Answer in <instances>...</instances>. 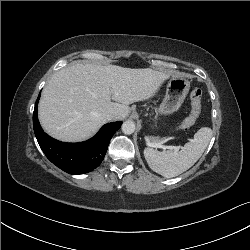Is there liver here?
Masks as SVG:
<instances>
[{
    "instance_id": "6515ba94",
    "label": "liver",
    "mask_w": 250,
    "mask_h": 250,
    "mask_svg": "<svg viewBox=\"0 0 250 250\" xmlns=\"http://www.w3.org/2000/svg\"><path fill=\"white\" fill-rule=\"evenodd\" d=\"M170 75L178 76L171 71L116 65L77 63L65 67L43 89L39 121L58 140L82 141L109 121L108 112H115L114 120L126 118L129 104L154 96Z\"/></svg>"
}]
</instances>
